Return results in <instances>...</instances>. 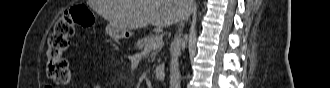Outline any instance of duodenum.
<instances>
[{"instance_id":"duodenum-1","label":"duodenum","mask_w":330,"mask_h":88,"mask_svg":"<svg viewBox=\"0 0 330 88\" xmlns=\"http://www.w3.org/2000/svg\"><path fill=\"white\" fill-rule=\"evenodd\" d=\"M153 74L156 79L161 80L165 75V66L162 64H158L153 68Z\"/></svg>"}]
</instances>
